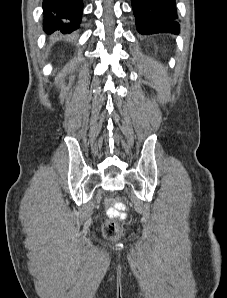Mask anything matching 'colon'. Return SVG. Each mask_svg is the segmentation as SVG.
Wrapping results in <instances>:
<instances>
[{
  "label": "colon",
  "mask_w": 227,
  "mask_h": 298,
  "mask_svg": "<svg viewBox=\"0 0 227 298\" xmlns=\"http://www.w3.org/2000/svg\"><path fill=\"white\" fill-rule=\"evenodd\" d=\"M124 217L122 205L116 203L107 210V219L103 224L102 232L107 240L115 241L123 235L121 220Z\"/></svg>",
  "instance_id": "obj_1"
}]
</instances>
